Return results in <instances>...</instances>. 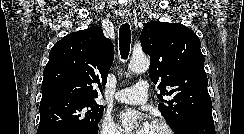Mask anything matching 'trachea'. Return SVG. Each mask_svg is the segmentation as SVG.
Masks as SVG:
<instances>
[{
    "label": "trachea",
    "instance_id": "1",
    "mask_svg": "<svg viewBox=\"0 0 244 134\" xmlns=\"http://www.w3.org/2000/svg\"><path fill=\"white\" fill-rule=\"evenodd\" d=\"M131 31L128 23H124L119 29V47L122 59H127L130 52Z\"/></svg>",
    "mask_w": 244,
    "mask_h": 134
}]
</instances>
